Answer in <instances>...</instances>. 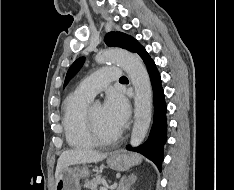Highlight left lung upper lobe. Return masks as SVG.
Segmentation results:
<instances>
[{
    "label": "left lung upper lobe",
    "instance_id": "5c2ea615",
    "mask_svg": "<svg viewBox=\"0 0 234 190\" xmlns=\"http://www.w3.org/2000/svg\"><path fill=\"white\" fill-rule=\"evenodd\" d=\"M104 42L107 46L120 47L134 53H136V51L141 47V45L133 37L121 32L107 33L104 38ZM83 63L84 58H79L71 65L67 72L64 86L79 71Z\"/></svg>",
    "mask_w": 234,
    "mask_h": 190
}]
</instances>
